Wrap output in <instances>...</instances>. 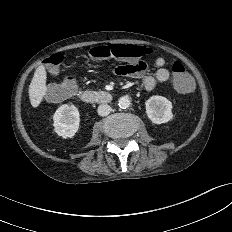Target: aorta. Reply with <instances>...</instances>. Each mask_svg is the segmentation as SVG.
<instances>
[{"instance_id": "762f6f07", "label": "aorta", "mask_w": 232, "mask_h": 232, "mask_svg": "<svg viewBox=\"0 0 232 232\" xmlns=\"http://www.w3.org/2000/svg\"><path fill=\"white\" fill-rule=\"evenodd\" d=\"M130 104H131V101H130V98L128 96L120 97L118 100V106L122 109L128 108L130 106Z\"/></svg>"}]
</instances>
